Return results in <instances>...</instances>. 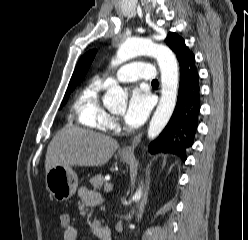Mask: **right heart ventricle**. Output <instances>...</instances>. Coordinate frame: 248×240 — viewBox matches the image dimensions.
Masks as SVG:
<instances>
[{"instance_id":"obj_1","label":"right heart ventricle","mask_w":248,"mask_h":240,"mask_svg":"<svg viewBox=\"0 0 248 240\" xmlns=\"http://www.w3.org/2000/svg\"><path fill=\"white\" fill-rule=\"evenodd\" d=\"M101 89V83L93 80L78 94L73 104V112L78 124L92 129L105 127L108 114L100 102Z\"/></svg>"}]
</instances>
